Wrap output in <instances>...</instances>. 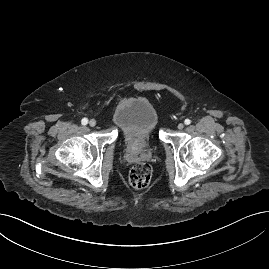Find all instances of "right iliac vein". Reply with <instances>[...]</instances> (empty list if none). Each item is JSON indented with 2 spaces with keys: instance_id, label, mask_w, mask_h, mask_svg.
Here are the masks:
<instances>
[{
  "instance_id": "1",
  "label": "right iliac vein",
  "mask_w": 269,
  "mask_h": 269,
  "mask_svg": "<svg viewBox=\"0 0 269 269\" xmlns=\"http://www.w3.org/2000/svg\"><path fill=\"white\" fill-rule=\"evenodd\" d=\"M89 125H90L91 127H94V126L96 125V120L91 119V120L89 121Z\"/></svg>"
}]
</instances>
